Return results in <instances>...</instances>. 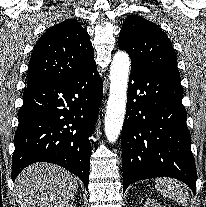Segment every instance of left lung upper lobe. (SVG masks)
I'll return each instance as SVG.
<instances>
[{"label":"left lung upper lobe","mask_w":206,"mask_h":207,"mask_svg":"<svg viewBox=\"0 0 206 207\" xmlns=\"http://www.w3.org/2000/svg\"><path fill=\"white\" fill-rule=\"evenodd\" d=\"M118 46L130 55L132 67L180 80L171 41L155 23L137 15L128 16Z\"/></svg>","instance_id":"obj_1"}]
</instances>
